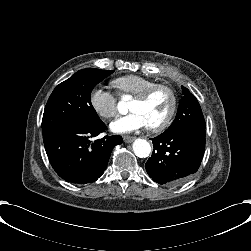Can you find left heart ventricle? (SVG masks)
<instances>
[{
  "label": "left heart ventricle",
  "instance_id": "left-heart-ventricle-1",
  "mask_svg": "<svg viewBox=\"0 0 251 251\" xmlns=\"http://www.w3.org/2000/svg\"><path fill=\"white\" fill-rule=\"evenodd\" d=\"M172 105V95L167 89H158L147 102L134 100L131 110H140L146 116L149 125L162 121Z\"/></svg>",
  "mask_w": 251,
  "mask_h": 251
}]
</instances>
